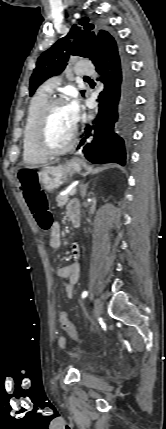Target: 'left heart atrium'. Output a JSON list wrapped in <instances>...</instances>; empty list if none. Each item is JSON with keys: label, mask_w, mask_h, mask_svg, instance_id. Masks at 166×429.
<instances>
[{"label": "left heart atrium", "mask_w": 166, "mask_h": 429, "mask_svg": "<svg viewBox=\"0 0 166 429\" xmlns=\"http://www.w3.org/2000/svg\"><path fill=\"white\" fill-rule=\"evenodd\" d=\"M68 108L71 114V118L74 122H76L79 119L80 116V107L79 103L76 98H74L69 104Z\"/></svg>", "instance_id": "39dd6f15"}]
</instances>
